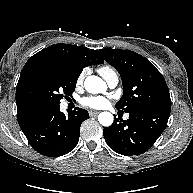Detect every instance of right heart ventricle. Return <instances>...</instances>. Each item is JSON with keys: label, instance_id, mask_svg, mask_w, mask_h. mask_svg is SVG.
Masks as SVG:
<instances>
[{"label": "right heart ventricle", "instance_id": "e07e8e85", "mask_svg": "<svg viewBox=\"0 0 193 193\" xmlns=\"http://www.w3.org/2000/svg\"><path fill=\"white\" fill-rule=\"evenodd\" d=\"M98 72L105 77L106 75H108L111 72H115L113 68H111L110 66H102L98 69Z\"/></svg>", "mask_w": 193, "mask_h": 193}]
</instances>
